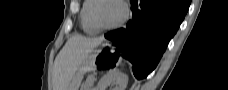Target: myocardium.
I'll list each match as a JSON object with an SVG mask.
<instances>
[{"instance_id": "f54148a6", "label": "myocardium", "mask_w": 228, "mask_h": 90, "mask_svg": "<svg viewBox=\"0 0 228 90\" xmlns=\"http://www.w3.org/2000/svg\"><path fill=\"white\" fill-rule=\"evenodd\" d=\"M102 1H106V0H95L93 6L91 7V10H90V20H91V23L92 25L98 30V31H111V30H114V29H117L119 27H121L127 20L128 18V8H127V5L124 1L122 0H112V1H115L117 3L120 4L121 8H122V16L121 18L118 20V22H116L115 24L113 25H110V26H101L97 20H96V17H95V10L97 8V5L102 2Z\"/></svg>"}]
</instances>
